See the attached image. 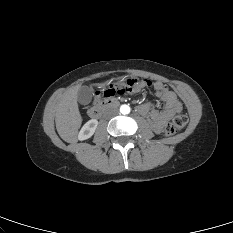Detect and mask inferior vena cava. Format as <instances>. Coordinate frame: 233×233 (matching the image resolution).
I'll return each mask as SVG.
<instances>
[{
	"instance_id": "1",
	"label": "inferior vena cava",
	"mask_w": 233,
	"mask_h": 233,
	"mask_svg": "<svg viewBox=\"0 0 233 233\" xmlns=\"http://www.w3.org/2000/svg\"><path fill=\"white\" fill-rule=\"evenodd\" d=\"M117 113V109H110V110H108L107 111V115L108 116H113V115H115Z\"/></svg>"
}]
</instances>
